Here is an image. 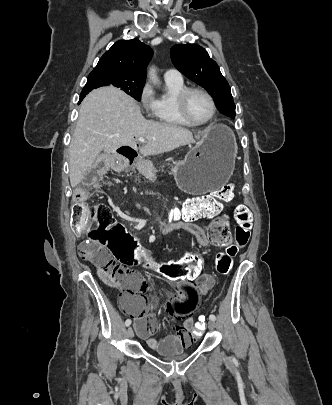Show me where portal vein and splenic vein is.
Instances as JSON below:
<instances>
[{
  "label": "portal vein and splenic vein",
  "mask_w": 332,
  "mask_h": 405,
  "mask_svg": "<svg viewBox=\"0 0 332 405\" xmlns=\"http://www.w3.org/2000/svg\"><path fill=\"white\" fill-rule=\"evenodd\" d=\"M138 141L141 142V143H144V142H145V139H144L143 137H139V138H138Z\"/></svg>",
  "instance_id": "obj_1"
}]
</instances>
